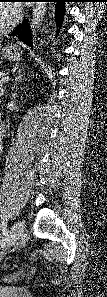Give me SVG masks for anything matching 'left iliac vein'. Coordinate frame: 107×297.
Returning a JSON list of instances; mask_svg holds the SVG:
<instances>
[{
    "label": "left iliac vein",
    "mask_w": 107,
    "mask_h": 297,
    "mask_svg": "<svg viewBox=\"0 0 107 297\" xmlns=\"http://www.w3.org/2000/svg\"><path fill=\"white\" fill-rule=\"evenodd\" d=\"M25 230V223L24 220H18L15 222V224L12 226L10 231V244L15 243L24 233Z\"/></svg>",
    "instance_id": "left-iliac-vein-1"
}]
</instances>
